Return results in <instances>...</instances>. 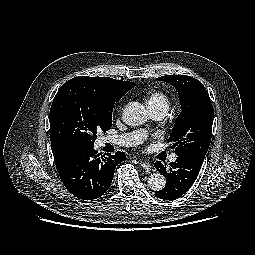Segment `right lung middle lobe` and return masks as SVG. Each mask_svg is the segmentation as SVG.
<instances>
[{
  "instance_id": "1",
  "label": "right lung middle lobe",
  "mask_w": 255,
  "mask_h": 255,
  "mask_svg": "<svg viewBox=\"0 0 255 255\" xmlns=\"http://www.w3.org/2000/svg\"><path fill=\"white\" fill-rule=\"evenodd\" d=\"M108 77L80 76L65 82L50 109V140L93 145L112 125L114 103L131 87H114Z\"/></svg>"
}]
</instances>
